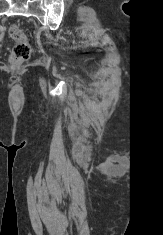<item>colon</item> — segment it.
Here are the masks:
<instances>
[{
  "instance_id": "5ec220e1",
  "label": "colon",
  "mask_w": 163,
  "mask_h": 235,
  "mask_svg": "<svg viewBox=\"0 0 163 235\" xmlns=\"http://www.w3.org/2000/svg\"><path fill=\"white\" fill-rule=\"evenodd\" d=\"M9 36L15 42L10 60L12 64L19 65L30 57V43L26 35L19 29L16 24L10 26Z\"/></svg>"
}]
</instances>
